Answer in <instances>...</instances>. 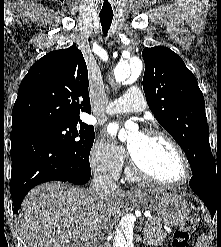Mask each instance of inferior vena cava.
I'll return each mask as SVG.
<instances>
[{
	"instance_id": "602c4592",
	"label": "inferior vena cava",
	"mask_w": 221,
	"mask_h": 247,
	"mask_svg": "<svg viewBox=\"0 0 221 247\" xmlns=\"http://www.w3.org/2000/svg\"><path fill=\"white\" fill-rule=\"evenodd\" d=\"M117 188V184L107 174L106 170L95 169L91 192L100 201L106 200ZM106 237L105 234L100 235L95 242V247H110Z\"/></svg>"
}]
</instances>
